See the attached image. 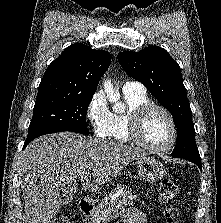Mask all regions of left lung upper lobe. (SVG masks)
Here are the masks:
<instances>
[{
  "label": "left lung upper lobe",
  "instance_id": "left-lung-upper-lobe-1",
  "mask_svg": "<svg viewBox=\"0 0 221 223\" xmlns=\"http://www.w3.org/2000/svg\"><path fill=\"white\" fill-rule=\"evenodd\" d=\"M117 59L126 73L143 83L173 116L177 143L171 156L200 158L181 70L169 53L161 47L149 46L140 52L124 51Z\"/></svg>",
  "mask_w": 221,
  "mask_h": 223
}]
</instances>
